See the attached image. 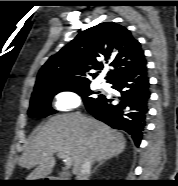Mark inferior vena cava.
Instances as JSON below:
<instances>
[{"instance_id":"obj_1","label":"inferior vena cava","mask_w":178,"mask_h":186,"mask_svg":"<svg viewBox=\"0 0 178 186\" xmlns=\"http://www.w3.org/2000/svg\"><path fill=\"white\" fill-rule=\"evenodd\" d=\"M91 163H92L91 157L84 161L80 169V172L77 174V180H89L91 174Z\"/></svg>"}]
</instances>
